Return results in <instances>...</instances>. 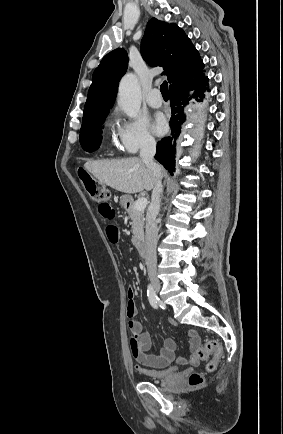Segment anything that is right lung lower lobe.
<instances>
[{
    "mask_svg": "<svg viewBox=\"0 0 283 434\" xmlns=\"http://www.w3.org/2000/svg\"><path fill=\"white\" fill-rule=\"evenodd\" d=\"M208 77H203L201 81L190 87H174L170 89V101L172 116L170 118L171 135L162 138L156 149L155 159L158 160L169 172L174 171L176 140L181 133V125L185 122L184 107L188 104L191 97L188 92L195 90L193 97L201 101L204 92H208ZM199 97L200 99L198 100Z\"/></svg>",
    "mask_w": 283,
    "mask_h": 434,
    "instance_id": "1",
    "label": "right lung lower lobe"
}]
</instances>
